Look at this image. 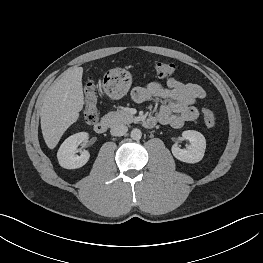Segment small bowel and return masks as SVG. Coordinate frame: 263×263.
<instances>
[{
  "mask_svg": "<svg viewBox=\"0 0 263 263\" xmlns=\"http://www.w3.org/2000/svg\"><path fill=\"white\" fill-rule=\"evenodd\" d=\"M131 96L136 103L160 100L162 104L154 116L155 120L163 125L181 128L185 123L198 118L199 110L195 104L206 98V92L198 84L168 78L164 85L150 82L135 87Z\"/></svg>",
  "mask_w": 263,
  "mask_h": 263,
  "instance_id": "obj_1",
  "label": "small bowel"
}]
</instances>
